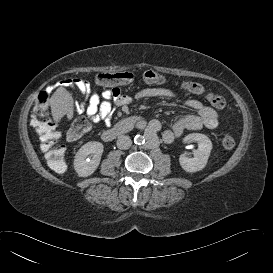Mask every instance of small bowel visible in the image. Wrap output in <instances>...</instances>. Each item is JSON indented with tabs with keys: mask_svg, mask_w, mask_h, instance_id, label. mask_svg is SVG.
<instances>
[{
	"mask_svg": "<svg viewBox=\"0 0 273 273\" xmlns=\"http://www.w3.org/2000/svg\"><path fill=\"white\" fill-rule=\"evenodd\" d=\"M189 82L190 81L183 83L182 87L185 90L197 95L205 93V89L202 93L191 91ZM59 84L65 87H73L85 96V102L75 104L74 108L78 113H85L94 123L103 121L109 124L114 107L126 106L131 102V97L122 94L117 87L94 91L87 80L78 78L64 79L61 80ZM177 96L178 94L174 90L166 87L143 88L135 95L138 99L174 98ZM185 105L195 110L196 114L183 115L170 129L164 130L162 139L165 143H171L185 131H194L202 128L215 129L218 126V114L212 107L197 99H189L185 102ZM159 130L160 123L158 121H152L149 125L150 135L157 134Z\"/></svg>",
	"mask_w": 273,
	"mask_h": 273,
	"instance_id": "c3829d8e",
	"label": "small bowel"
}]
</instances>
